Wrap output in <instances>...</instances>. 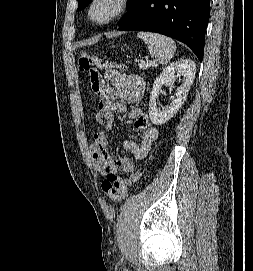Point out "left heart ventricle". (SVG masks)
<instances>
[{
	"label": "left heart ventricle",
	"mask_w": 253,
	"mask_h": 271,
	"mask_svg": "<svg viewBox=\"0 0 253 271\" xmlns=\"http://www.w3.org/2000/svg\"><path fill=\"white\" fill-rule=\"evenodd\" d=\"M116 7V0H99L93 8V17L97 20L107 18Z\"/></svg>",
	"instance_id": "left-heart-ventricle-1"
}]
</instances>
